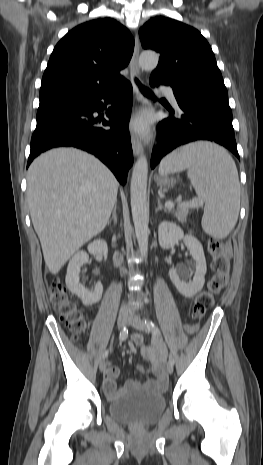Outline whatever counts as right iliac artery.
Instances as JSON below:
<instances>
[{"mask_svg":"<svg viewBox=\"0 0 263 465\" xmlns=\"http://www.w3.org/2000/svg\"><path fill=\"white\" fill-rule=\"evenodd\" d=\"M128 336V329L126 327H124L121 331H120V334H119V340L120 341H124L126 340ZM109 354V350H106L104 353H103V358L105 359Z\"/></svg>","mask_w":263,"mask_h":465,"instance_id":"82829eb1","label":"right iliac artery"}]
</instances>
